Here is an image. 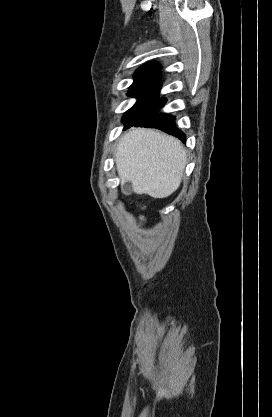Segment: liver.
Listing matches in <instances>:
<instances>
[{"label":"liver","instance_id":"liver-1","mask_svg":"<svg viewBox=\"0 0 272 417\" xmlns=\"http://www.w3.org/2000/svg\"><path fill=\"white\" fill-rule=\"evenodd\" d=\"M115 158L121 182L129 181L135 193L153 198H166L179 188L187 161L178 139L144 128L122 136Z\"/></svg>","mask_w":272,"mask_h":417}]
</instances>
